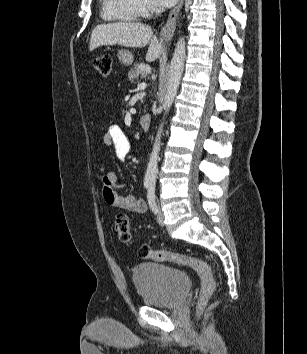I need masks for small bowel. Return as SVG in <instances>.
Instances as JSON below:
<instances>
[{
    "label": "small bowel",
    "mask_w": 307,
    "mask_h": 354,
    "mask_svg": "<svg viewBox=\"0 0 307 354\" xmlns=\"http://www.w3.org/2000/svg\"><path fill=\"white\" fill-rule=\"evenodd\" d=\"M103 142L114 149L119 160H123L131 149L129 137L118 124L110 125L104 133ZM118 175L115 171H108L102 177V192L106 203L111 206L125 209L132 212L144 213L146 204L135 194H120L118 188Z\"/></svg>",
    "instance_id": "obj_1"
}]
</instances>
